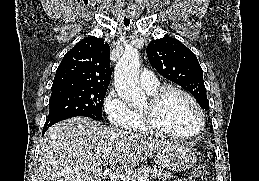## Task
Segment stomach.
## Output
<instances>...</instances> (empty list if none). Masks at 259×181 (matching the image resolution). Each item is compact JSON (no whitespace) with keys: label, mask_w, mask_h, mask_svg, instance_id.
<instances>
[{"label":"stomach","mask_w":259,"mask_h":181,"mask_svg":"<svg viewBox=\"0 0 259 181\" xmlns=\"http://www.w3.org/2000/svg\"><path fill=\"white\" fill-rule=\"evenodd\" d=\"M157 162L162 168L173 171H185L197 162V151L192 147L174 142L157 153Z\"/></svg>","instance_id":"stomach-1"}]
</instances>
